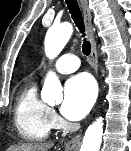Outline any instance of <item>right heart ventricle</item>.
<instances>
[{
  "label": "right heart ventricle",
  "mask_w": 131,
  "mask_h": 151,
  "mask_svg": "<svg viewBox=\"0 0 131 151\" xmlns=\"http://www.w3.org/2000/svg\"><path fill=\"white\" fill-rule=\"evenodd\" d=\"M14 121L18 133L25 140L42 141L50 135L54 127L51 109L39 98L35 83L28 84L20 91Z\"/></svg>",
  "instance_id": "obj_1"
}]
</instances>
